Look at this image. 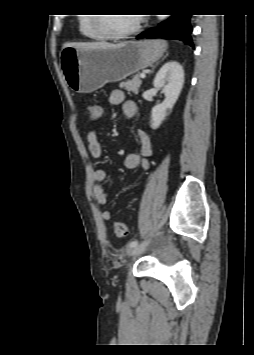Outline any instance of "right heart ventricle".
<instances>
[{
	"mask_svg": "<svg viewBox=\"0 0 254 355\" xmlns=\"http://www.w3.org/2000/svg\"><path fill=\"white\" fill-rule=\"evenodd\" d=\"M79 31L85 38L89 40L103 39L94 28L93 15H82L79 18Z\"/></svg>",
	"mask_w": 254,
	"mask_h": 355,
	"instance_id": "1",
	"label": "right heart ventricle"
}]
</instances>
